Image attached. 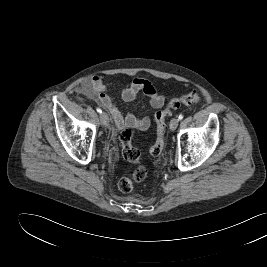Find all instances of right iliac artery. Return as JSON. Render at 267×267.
I'll return each instance as SVG.
<instances>
[{
  "mask_svg": "<svg viewBox=\"0 0 267 267\" xmlns=\"http://www.w3.org/2000/svg\"><path fill=\"white\" fill-rule=\"evenodd\" d=\"M98 113H102V110L100 108H97Z\"/></svg>",
  "mask_w": 267,
  "mask_h": 267,
  "instance_id": "82829eb1",
  "label": "right iliac artery"
}]
</instances>
